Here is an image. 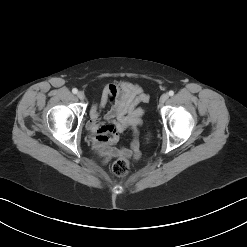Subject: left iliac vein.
I'll return each mask as SVG.
<instances>
[{
  "label": "left iliac vein",
  "mask_w": 247,
  "mask_h": 247,
  "mask_svg": "<svg viewBox=\"0 0 247 247\" xmlns=\"http://www.w3.org/2000/svg\"><path fill=\"white\" fill-rule=\"evenodd\" d=\"M169 98V95L167 93H164L161 97H160V104L163 105Z\"/></svg>",
  "instance_id": "4c4485c4"
}]
</instances>
